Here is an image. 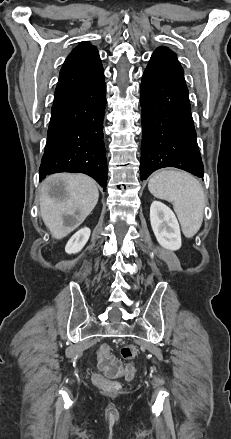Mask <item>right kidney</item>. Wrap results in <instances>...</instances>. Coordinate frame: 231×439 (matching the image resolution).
Masks as SVG:
<instances>
[{
	"instance_id": "right-kidney-1",
	"label": "right kidney",
	"mask_w": 231,
	"mask_h": 439,
	"mask_svg": "<svg viewBox=\"0 0 231 439\" xmlns=\"http://www.w3.org/2000/svg\"><path fill=\"white\" fill-rule=\"evenodd\" d=\"M90 229L85 227L76 232L65 246V252L75 254L82 250L90 237Z\"/></svg>"
}]
</instances>
